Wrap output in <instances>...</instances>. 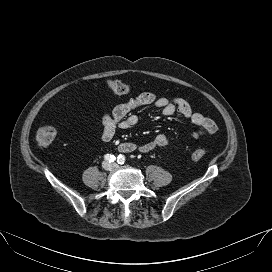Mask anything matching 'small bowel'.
<instances>
[{"instance_id":"1","label":"small bowel","mask_w":272,"mask_h":272,"mask_svg":"<svg viewBox=\"0 0 272 272\" xmlns=\"http://www.w3.org/2000/svg\"><path fill=\"white\" fill-rule=\"evenodd\" d=\"M148 105H153L161 109L164 116L179 114L189 119L198 127L191 134L194 139L214 134L217 131L216 123L202 113L194 111L185 99L178 97L167 98L151 92H143L128 101L117 105L111 113L106 114L103 117L101 139L104 142H109L113 139L118 129L127 130L134 127L139 119L132 111L136 108ZM168 145V137L165 134L160 133L156 135L153 140L139 145L137 150L140 153H149L166 148Z\"/></svg>"}]
</instances>
